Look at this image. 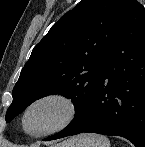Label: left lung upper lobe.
<instances>
[{
    "label": "left lung upper lobe",
    "mask_w": 145,
    "mask_h": 147,
    "mask_svg": "<svg viewBox=\"0 0 145 147\" xmlns=\"http://www.w3.org/2000/svg\"><path fill=\"white\" fill-rule=\"evenodd\" d=\"M131 0H82L57 21L34 47L13 89L10 122L35 100L61 94L72 99L76 128L86 114L106 59Z\"/></svg>",
    "instance_id": "5c2ea615"
}]
</instances>
